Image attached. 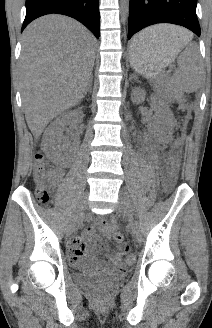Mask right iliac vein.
Instances as JSON below:
<instances>
[{"instance_id": "1", "label": "right iliac vein", "mask_w": 212, "mask_h": 328, "mask_svg": "<svg viewBox=\"0 0 212 328\" xmlns=\"http://www.w3.org/2000/svg\"><path fill=\"white\" fill-rule=\"evenodd\" d=\"M87 206V195H85L82 200L80 201V203L78 204L77 210L75 215L73 216L69 226H68V234H72L73 231L75 230V227L78 223V221L80 220V218L82 217V215L84 214V211L86 209Z\"/></svg>"}]
</instances>
